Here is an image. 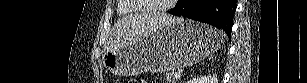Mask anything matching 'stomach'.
<instances>
[{
	"label": "stomach",
	"mask_w": 307,
	"mask_h": 83,
	"mask_svg": "<svg viewBox=\"0 0 307 83\" xmlns=\"http://www.w3.org/2000/svg\"><path fill=\"white\" fill-rule=\"evenodd\" d=\"M218 34L208 25L177 18L133 43L107 50L102 60L117 76L180 69L216 51L221 45Z\"/></svg>",
	"instance_id": "stomach-1"
}]
</instances>
